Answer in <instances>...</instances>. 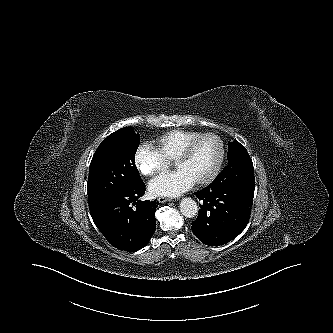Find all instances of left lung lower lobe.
<instances>
[{
	"label": "left lung lower lobe",
	"instance_id": "left-lung-lower-lobe-1",
	"mask_svg": "<svg viewBox=\"0 0 333 333\" xmlns=\"http://www.w3.org/2000/svg\"><path fill=\"white\" fill-rule=\"evenodd\" d=\"M231 174H219L206 188L195 192L203 203L192 222V231L204 244L219 246L230 242L246 227L253 195L238 189Z\"/></svg>",
	"mask_w": 333,
	"mask_h": 333
}]
</instances>
